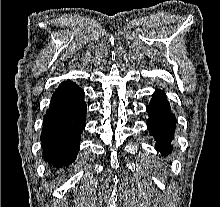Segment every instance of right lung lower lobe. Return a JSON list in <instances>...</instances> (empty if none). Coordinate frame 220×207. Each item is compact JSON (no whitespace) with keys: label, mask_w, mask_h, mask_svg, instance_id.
<instances>
[{"label":"right lung lower lobe","mask_w":220,"mask_h":207,"mask_svg":"<svg viewBox=\"0 0 220 207\" xmlns=\"http://www.w3.org/2000/svg\"><path fill=\"white\" fill-rule=\"evenodd\" d=\"M86 109L84 91L75 83L68 80L55 90L41 133L46 161L67 164L75 161L85 128Z\"/></svg>","instance_id":"right-lung-lower-lobe-1"}]
</instances>
